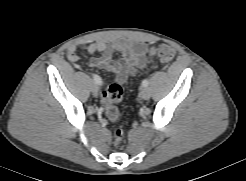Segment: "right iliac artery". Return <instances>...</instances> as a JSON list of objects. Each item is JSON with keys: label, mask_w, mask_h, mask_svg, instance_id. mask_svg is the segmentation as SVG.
Listing matches in <instances>:
<instances>
[{"label": "right iliac artery", "mask_w": 246, "mask_h": 181, "mask_svg": "<svg viewBox=\"0 0 246 181\" xmlns=\"http://www.w3.org/2000/svg\"><path fill=\"white\" fill-rule=\"evenodd\" d=\"M93 79H94V82L96 84H98V85H101L102 84V80H101V78L98 75L93 74Z\"/></svg>", "instance_id": "obj_1"}]
</instances>
